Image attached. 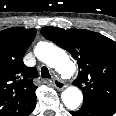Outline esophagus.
Masks as SVG:
<instances>
[{
    "mask_svg": "<svg viewBox=\"0 0 116 116\" xmlns=\"http://www.w3.org/2000/svg\"><path fill=\"white\" fill-rule=\"evenodd\" d=\"M53 86L58 90H62L66 87V84L61 79L54 78L53 79Z\"/></svg>",
    "mask_w": 116,
    "mask_h": 116,
    "instance_id": "esophagus-1",
    "label": "esophagus"
}]
</instances>
